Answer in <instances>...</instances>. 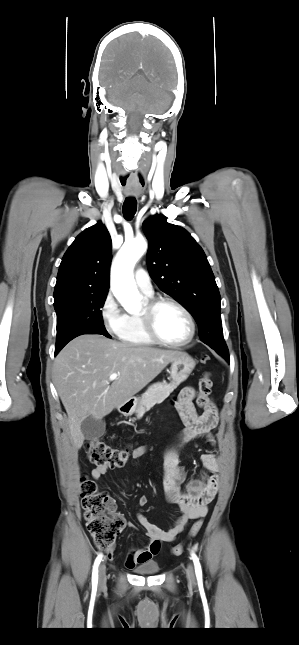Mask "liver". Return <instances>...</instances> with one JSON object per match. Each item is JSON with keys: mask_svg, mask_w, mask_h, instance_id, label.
I'll use <instances>...</instances> for the list:
<instances>
[{"mask_svg": "<svg viewBox=\"0 0 299 645\" xmlns=\"http://www.w3.org/2000/svg\"><path fill=\"white\" fill-rule=\"evenodd\" d=\"M180 351L136 346L97 334L78 336L57 355L53 380L68 414L72 444L84 442L81 423L102 419L156 378ZM118 377L110 384L109 376Z\"/></svg>", "mask_w": 299, "mask_h": 645, "instance_id": "1", "label": "liver"}]
</instances>
